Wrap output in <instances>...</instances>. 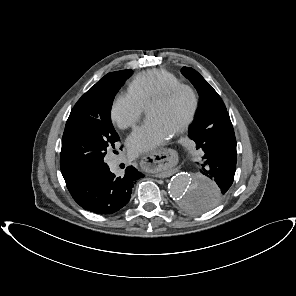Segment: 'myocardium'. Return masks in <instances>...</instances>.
<instances>
[{"label":"myocardium","mask_w":296,"mask_h":296,"mask_svg":"<svg viewBox=\"0 0 296 296\" xmlns=\"http://www.w3.org/2000/svg\"><path fill=\"white\" fill-rule=\"evenodd\" d=\"M181 92H186L189 95L191 99V107L187 117L174 130V134H179L185 131L191 125V123L194 121L196 117L198 106H199V99L195 89L188 84L179 83L166 89L162 93L156 95L155 97L150 99L146 105V111H147L150 106L168 102Z\"/></svg>","instance_id":"1"}]
</instances>
